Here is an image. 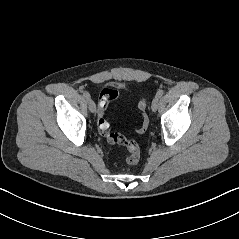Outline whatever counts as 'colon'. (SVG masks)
<instances>
[{"label":"colon","mask_w":239,"mask_h":239,"mask_svg":"<svg viewBox=\"0 0 239 239\" xmlns=\"http://www.w3.org/2000/svg\"><path fill=\"white\" fill-rule=\"evenodd\" d=\"M118 91L112 88H104L100 93L98 99V128L100 133L107 139L111 144H117L124 146L128 153L126 156V163L128 165H135L139 160V146L138 144L130 139H127L124 135L112 132L110 130V124L107 121L105 114L106 109L111 100H114L118 97ZM139 110L141 111L142 124L136 130L138 134H142L147 130L148 127V118L146 115V101L144 99L139 102Z\"/></svg>","instance_id":"5ec220e1"}]
</instances>
